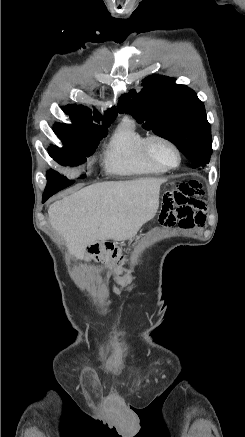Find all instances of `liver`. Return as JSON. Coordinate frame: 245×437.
I'll use <instances>...</instances> for the list:
<instances>
[{
  "label": "liver",
  "instance_id": "liver-1",
  "mask_svg": "<svg viewBox=\"0 0 245 437\" xmlns=\"http://www.w3.org/2000/svg\"><path fill=\"white\" fill-rule=\"evenodd\" d=\"M161 178L97 183L50 205L49 221L71 254L82 260L97 240L125 241L153 219L159 207Z\"/></svg>",
  "mask_w": 245,
  "mask_h": 437
}]
</instances>
